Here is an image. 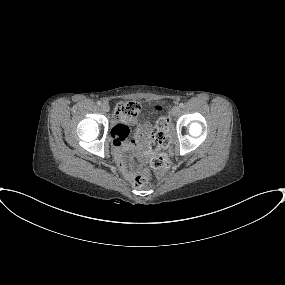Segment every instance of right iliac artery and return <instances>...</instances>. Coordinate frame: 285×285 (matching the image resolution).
Returning <instances> with one entry per match:
<instances>
[{"label": "right iliac artery", "mask_w": 285, "mask_h": 285, "mask_svg": "<svg viewBox=\"0 0 285 285\" xmlns=\"http://www.w3.org/2000/svg\"><path fill=\"white\" fill-rule=\"evenodd\" d=\"M97 105H99V106H100V105H101V101H97Z\"/></svg>", "instance_id": "82829eb1"}]
</instances>
